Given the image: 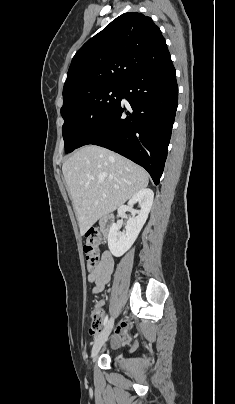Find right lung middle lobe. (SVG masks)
Returning a JSON list of instances; mask_svg holds the SVG:
<instances>
[{
  "mask_svg": "<svg viewBox=\"0 0 235 404\" xmlns=\"http://www.w3.org/2000/svg\"><path fill=\"white\" fill-rule=\"evenodd\" d=\"M122 99V85L93 90L63 104L62 134L65 152L79 147L82 140L118 105Z\"/></svg>",
  "mask_w": 235,
  "mask_h": 404,
  "instance_id": "1",
  "label": "right lung middle lobe"
}]
</instances>
